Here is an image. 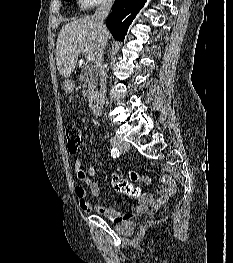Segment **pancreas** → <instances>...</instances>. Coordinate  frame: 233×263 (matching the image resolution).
<instances>
[{
	"mask_svg": "<svg viewBox=\"0 0 233 263\" xmlns=\"http://www.w3.org/2000/svg\"><path fill=\"white\" fill-rule=\"evenodd\" d=\"M80 82L83 90L82 94L92 103L97 97V71L87 63L82 67Z\"/></svg>",
	"mask_w": 233,
	"mask_h": 263,
	"instance_id": "1",
	"label": "pancreas"
}]
</instances>
